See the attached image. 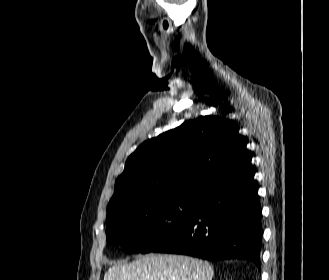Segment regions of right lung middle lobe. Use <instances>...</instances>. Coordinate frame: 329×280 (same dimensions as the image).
<instances>
[{"label":"right lung middle lobe","instance_id":"1","mask_svg":"<svg viewBox=\"0 0 329 280\" xmlns=\"http://www.w3.org/2000/svg\"><path fill=\"white\" fill-rule=\"evenodd\" d=\"M200 197L151 196L107 207V242L129 253H148L188 221Z\"/></svg>","mask_w":329,"mask_h":280}]
</instances>
